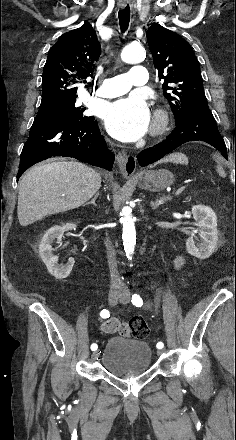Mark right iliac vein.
<instances>
[{
    "label": "right iliac vein",
    "instance_id": "obj_1",
    "mask_svg": "<svg viewBox=\"0 0 236 440\" xmlns=\"http://www.w3.org/2000/svg\"><path fill=\"white\" fill-rule=\"evenodd\" d=\"M120 296H121V293H120V292H117V291H110L109 294H108V302H109V304H110L111 306L116 305L117 302H118V299L120 298ZM98 355H99V353H98V351H96V352H94V353L92 354V358H93V359H96V358L98 357Z\"/></svg>",
    "mask_w": 236,
    "mask_h": 440
}]
</instances>
